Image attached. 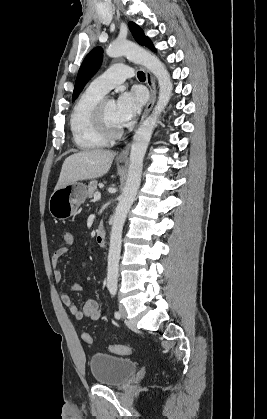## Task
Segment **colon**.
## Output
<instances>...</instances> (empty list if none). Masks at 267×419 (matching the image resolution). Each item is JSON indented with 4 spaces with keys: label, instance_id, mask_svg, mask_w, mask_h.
Masks as SVG:
<instances>
[{
    "label": "colon",
    "instance_id": "colon-1",
    "mask_svg": "<svg viewBox=\"0 0 267 419\" xmlns=\"http://www.w3.org/2000/svg\"><path fill=\"white\" fill-rule=\"evenodd\" d=\"M62 239H63L64 243L66 244V246H69V247L74 246V234L71 230H69V229L64 230L63 233H62ZM82 338L86 343H91L92 342V337L87 332L83 333ZM110 351L115 353V354H120V355H128V354H131L133 352V350L130 346L121 345V344L111 345L110 346Z\"/></svg>",
    "mask_w": 267,
    "mask_h": 419
}]
</instances>
